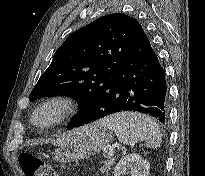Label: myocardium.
I'll use <instances>...</instances> for the list:
<instances>
[{"label":"myocardium","mask_w":205,"mask_h":176,"mask_svg":"<svg viewBox=\"0 0 205 176\" xmlns=\"http://www.w3.org/2000/svg\"><path fill=\"white\" fill-rule=\"evenodd\" d=\"M76 111L77 104L72 97L58 94L40 102L32 112L30 121L35 126L53 127L73 116ZM45 112L50 114L49 120L45 123L38 122L37 116Z\"/></svg>","instance_id":"obj_1"}]
</instances>
